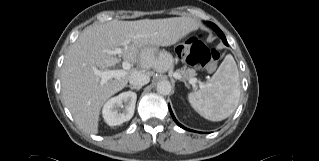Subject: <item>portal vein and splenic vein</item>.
<instances>
[{
	"label": "portal vein and splenic vein",
	"instance_id": "obj_1",
	"mask_svg": "<svg viewBox=\"0 0 319 161\" xmlns=\"http://www.w3.org/2000/svg\"><path fill=\"white\" fill-rule=\"evenodd\" d=\"M123 52V49L121 47H117L114 50L111 51L112 54L114 55H121ZM123 70H105V71H100L96 68H94V72L97 76L101 78L102 83L107 82L109 79L112 78H121L127 74V72L131 68V64L128 61H123L122 63ZM173 76L176 79H181V74L178 72H175ZM191 84H195L197 82L196 78H192L189 80Z\"/></svg>",
	"mask_w": 319,
	"mask_h": 161
}]
</instances>
